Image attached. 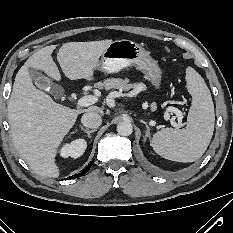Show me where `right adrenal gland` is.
<instances>
[{"label": "right adrenal gland", "instance_id": "right-adrenal-gland-1", "mask_svg": "<svg viewBox=\"0 0 233 233\" xmlns=\"http://www.w3.org/2000/svg\"><path fill=\"white\" fill-rule=\"evenodd\" d=\"M80 129L83 130L87 134L88 138H91L90 134L96 131L95 129H92V130L86 129L83 126H80Z\"/></svg>", "mask_w": 233, "mask_h": 233}]
</instances>
